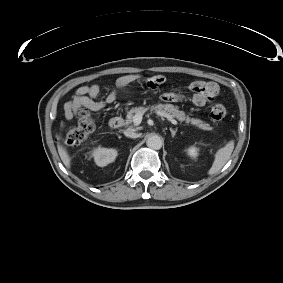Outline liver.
Wrapping results in <instances>:
<instances>
[{
    "instance_id": "1",
    "label": "liver",
    "mask_w": 283,
    "mask_h": 283,
    "mask_svg": "<svg viewBox=\"0 0 283 283\" xmlns=\"http://www.w3.org/2000/svg\"><path fill=\"white\" fill-rule=\"evenodd\" d=\"M64 124L61 123V128H63ZM58 153L59 156L63 162V164L67 167L70 168V164H71V158L66 150L65 147H63L62 145H60V143H58Z\"/></svg>"
}]
</instances>
